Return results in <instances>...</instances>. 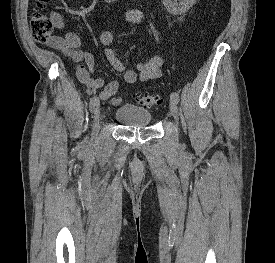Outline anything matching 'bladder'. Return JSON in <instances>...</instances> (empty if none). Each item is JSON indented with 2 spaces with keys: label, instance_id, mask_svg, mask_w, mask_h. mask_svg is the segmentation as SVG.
I'll list each match as a JSON object with an SVG mask.
<instances>
[{
  "label": "bladder",
  "instance_id": "31cf9c89",
  "mask_svg": "<svg viewBox=\"0 0 275 263\" xmlns=\"http://www.w3.org/2000/svg\"><path fill=\"white\" fill-rule=\"evenodd\" d=\"M114 118L123 126L146 127L151 122L152 114L145 108L123 104L116 108Z\"/></svg>",
  "mask_w": 275,
  "mask_h": 263
}]
</instances>
